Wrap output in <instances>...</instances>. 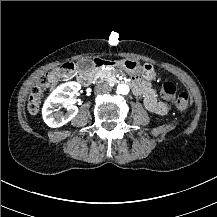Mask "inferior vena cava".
<instances>
[{
    "label": "inferior vena cava",
    "instance_id": "602c4592",
    "mask_svg": "<svg viewBox=\"0 0 217 217\" xmlns=\"http://www.w3.org/2000/svg\"><path fill=\"white\" fill-rule=\"evenodd\" d=\"M95 91L99 94H107L111 92V87L107 83H100L95 86Z\"/></svg>",
    "mask_w": 217,
    "mask_h": 217
}]
</instances>
